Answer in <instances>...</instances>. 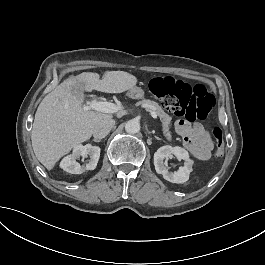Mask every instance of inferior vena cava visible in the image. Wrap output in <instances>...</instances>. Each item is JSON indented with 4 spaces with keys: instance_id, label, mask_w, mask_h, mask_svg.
Instances as JSON below:
<instances>
[{
    "instance_id": "obj_1",
    "label": "inferior vena cava",
    "mask_w": 265,
    "mask_h": 265,
    "mask_svg": "<svg viewBox=\"0 0 265 265\" xmlns=\"http://www.w3.org/2000/svg\"><path fill=\"white\" fill-rule=\"evenodd\" d=\"M115 125L113 119H107L100 121L93 129V136L96 139L105 138Z\"/></svg>"
}]
</instances>
